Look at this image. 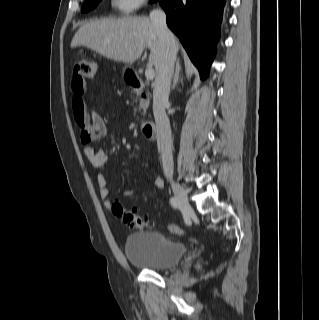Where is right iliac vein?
<instances>
[{"label": "right iliac vein", "instance_id": "obj_1", "mask_svg": "<svg viewBox=\"0 0 319 320\" xmlns=\"http://www.w3.org/2000/svg\"><path fill=\"white\" fill-rule=\"evenodd\" d=\"M172 190L174 192V195L176 198L179 200L180 204L186 209L190 210V204L188 202V195L186 190L184 189L183 186H181L179 183L175 181H170Z\"/></svg>", "mask_w": 319, "mask_h": 320}]
</instances>
